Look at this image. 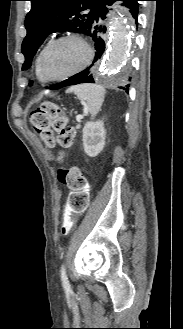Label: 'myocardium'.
<instances>
[{
    "instance_id": "obj_1",
    "label": "myocardium",
    "mask_w": 183,
    "mask_h": 329,
    "mask_svg": "<svg viewBox=\"0 0 183 329\" xmlns=\"http://www.w3.org/2000/svg\"><path fill=\"white\" fill-rule=\"evenodd\" d=\"M68 39H75L80 41L86 48L87 50V57L84 61V63L77 69L68 72L64 75L58 76V77H49L46 75L45 73V68H44V64H45V59L46 56L48 54V52L51 50L52 47H54L56 44L64 41V40H68ZM94 57V50L92 48V46L89 44V42L82 36L77 35V34H65L62 35L60 37L55 38L54 40H52L50 43H48L45 48L42 51L41 57H40V64H39V69H40V74L42 76V78L44 79L45 82H57V81H62L65 79H68L82 71H84L92 62Z\"/></svg>"
}]
</instances>
